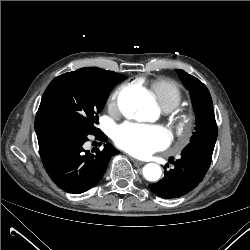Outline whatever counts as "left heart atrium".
<instances>
[{
  "instance_id": "left-heart-atrium-1",
  "label": "left heart atrium",
  "mask_w": 250,
  "mask_h": 250,
  "mask_svg": "<svg viewBox=\"0 0 250 250\" xmlns=\"http://www.w3.org/2000/svg\"><path fill=\"white\" fill-rule=\"evenodd\" d=\"M115 143L136 157H145L166 148L170 133L162 126L125 123L116 129Z\"/></svg>"
}]
</instances>
